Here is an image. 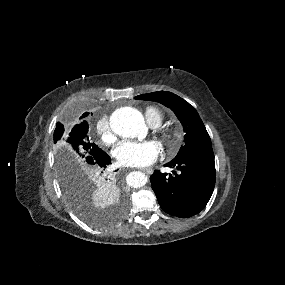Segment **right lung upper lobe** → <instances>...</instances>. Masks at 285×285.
Masks as SVG:
<instances>
[{
	"mask_svg": "<svg viewBox=\"0 0 285 285\" xmlns=\"http://www.w3.org/2000/svg\"><path fill=\"white\" fill-rule=\"evenodd\" d=\"M103 183H104V185H107V183H108V182H106V181H104V180H103ZM104 185H102V186L97 185V187H98V188H101V187L103 188V187H104Z\"/></svg>",
	"mask_w": 285,
	"mask_h": 285,
	"instance_id": "1",
	"label": "right lung upper lobe"
}]
</instances>
